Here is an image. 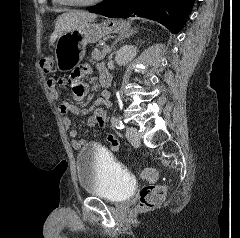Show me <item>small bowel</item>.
Listing matches in <instances>:
<instances>
[{
  "label": "small bowel",
  "instance_id": "small-bowel-1",
  "mask_svg": "<svg viewBox=\"0 0 240 238\" xmlns=\"http://www.w3.org/2000/svg\"><path fill=\"white\" fill-rule=\"evenodd\" d=\"M91 68L88 65L82 66L81 68L74 71L70 78H49L47 80V89L53 100L59 99L58 85L65 86L68 85L73 93L76 100H82L87 92V87L81 82V77L85 74H89ZM106 72L103 68H100V75ZM110 107L109 93L102 91L101 97L98 98L95 103L87 109H81L74 104L63 101L59 104V112L64 115L63 123L66 130L71 137V145L74 149L79 150L85 144V139H77L78 132L73 127L68 113H72L77 116H88L87 124L90 128L99 126L103 128L107 118V109ZM107 140L110 143L112 149H114L115 154H121L122 150L119 148H124V143H119L112 135L107 136Z\"/></svg>",
  "mask_w": 240,
  "mask_h": 238
}]
</instances>
